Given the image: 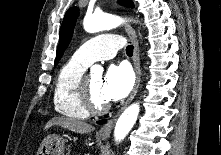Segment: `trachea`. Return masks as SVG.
Masks as SVG:
<instances>
[{
	"label": "trachea",
	"instance_id": "3493384b",
	"mask_svg": "<svg viewBox=\"0 0 221 155\" xmlns=\"http://www.w3.org/2000/svg\"><path fill=\"white\" fill-rule=\"evenodd\" d=\"M126 54H127L128 56H132V55H133V46H132V45H128V46L126 47Z\"/></svg>",
	"mask_w": 221,
	"mask_h": 155
}]
</instances>
